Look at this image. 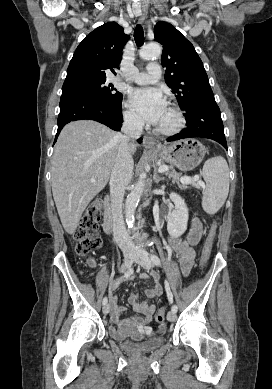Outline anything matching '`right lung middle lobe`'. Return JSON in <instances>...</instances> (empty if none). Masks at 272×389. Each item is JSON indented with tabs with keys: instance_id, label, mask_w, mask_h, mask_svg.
<instances>
[{
	"instance_id": "obj_1",
	"label": "right lung middle lobe",
	"mask_w": 272,
	"mask_h": 389,
	"mask_svg": "<svg viewBox=\"0 0 272 389\" xmlns=\"http://www.w3.org/2000/svg\"><path fill=\"white\" fill-rule=\"evenodd\" d=\"M106 79L87 80L65 84L62 87V95H87L95 97L108 104H120L122 102V94L115 91L111 84L105 85Z\"/></svg>"
}]
</instances>
